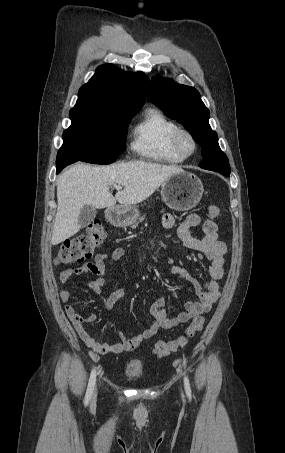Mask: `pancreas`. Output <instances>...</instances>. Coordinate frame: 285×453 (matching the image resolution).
Instances as JSON below:
<instances>
[{"instance_id": "1", "label": "pancreas", "mask_w": 285, "mask_h": 453, "mask_svg": "<svg viewBox=\"0 0 285 453\" xmlns=\"http://www.w3.org/2000/svg\"><path fill=\"white\" fill-rule=\"evenodd\" d=\"M138 218V217H137ZM137 218L131 223V227L132 228H136L138 226V223L139 222H142L144 220V216L142 217H139L138 218V221H137Z\"/></svg>"}]
</instances>
